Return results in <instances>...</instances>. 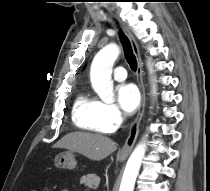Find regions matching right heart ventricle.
<instances>
[{
	"instance_id": "1",
	"label": "right heart ventricle",
	"mask_w": 210,
	"mask_h": 191,
	"mask_svg": "<svg viewBox=\"0 0 210 191\" xmlns=\"http://www.w3.org/2000/svg\"><path fill=\"white\" fill-rule=\"evenodd\" d=\"M72 113L73 121L80 129L101 134L114 130L103 117L101 102L85 92L77 96Z\"/></svg>"
}]
</instances>
